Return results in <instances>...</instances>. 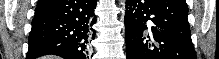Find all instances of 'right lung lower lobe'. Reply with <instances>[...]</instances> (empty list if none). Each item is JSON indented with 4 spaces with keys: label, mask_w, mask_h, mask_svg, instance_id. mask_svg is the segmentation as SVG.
Segmentation results:
<instances>
[{
    "label": "right lung lower lobe",
    "mask_w": 219,
    "mask_h": 59,
    "mask_svg": "<svg viewBox=\"0 0 219 59\" xmlns=\"http://www.w3.org/2000/svg\"><path fill=\"white\" fill-rule=\"evenodd\" d=\"M96 0H39L28 39L26 59L54 54L86 59L94 39Z\"/></svg>",
    "instance_id": "98d812e1"
}]
</instances>
